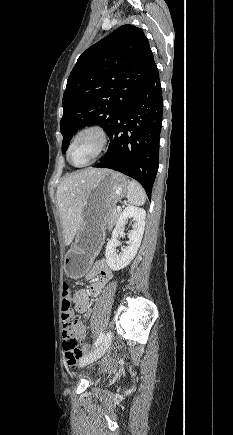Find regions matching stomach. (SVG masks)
Listing matches in <instances>:
<instances>
[{
    "label": "stomach",
    "instance_id": "stomach-1",
    "mask_svg": "<svg viewBox=\"0 0 233 435\" xmlns=\"http://www.w3.org/2000/svg\"><path fill=\"white\" fill-rule=\"evenodd\" d=\"M127 190V178L119 172L107 170L95 180L83 208L81 226L64 258L69 277L80 279L87 273L100 249L110 214Z\"/></svg>",
    "mask_w": 233,
    "mask_h": 435
}]
</instances>
